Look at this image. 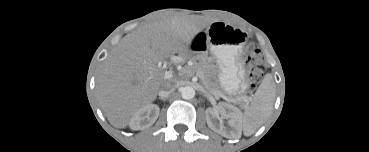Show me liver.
<instances>
[{
    "instance_id": "6515ba94",
    "label": "liver",
    "mask_w": 369,
    "mask_h": 152,
    "mask_svg": "<svg viewBox=\"0 0 369 152\" xmlns=\"http://www.w3.org/2000/svg\"><path fill=\"white\" fill-rule=\"evenodd\" d=\"M200 29L194 21L173 17L144 25L118 43L96 81L98 101L112 126L127 127L135 112L157 98L165 81L159 62L176 53L186 58Z\"/></svg>"
}]
</instances>
